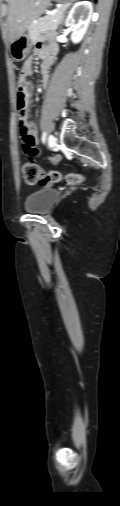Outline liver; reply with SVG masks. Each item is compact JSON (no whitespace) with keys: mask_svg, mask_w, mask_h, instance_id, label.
Listing matches in <instances>:
<instances>
[{"mask_svg":"<svg viewBox=\"0 0 120 506\" xmlns=\"http://www.w3.org/2000/svg\"><path fill=\"white\" fill-rule=\"evenodd\" d=\"M8 3L9 38L12 43L44 13L50 0H8Z\"/></svg>","mask_w":120,"mask_h":506,"instance_id":"liver-1","label":"liver"}]
</instances>
